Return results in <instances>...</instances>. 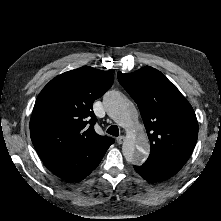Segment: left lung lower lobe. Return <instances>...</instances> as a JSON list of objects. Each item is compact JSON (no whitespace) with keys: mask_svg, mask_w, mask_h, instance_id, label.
<instances>
[{"mask_svg":"<svg viewBox=\"0 0 221 221\" xmlns=\"http://www.w3.org/2000/svg\"><path fill=\"white\" fill-rule=\"evenodd\" d=\"M134 168L148 182L165 181L176 174L172 170L148 163H144L141 166H134Z\"/></svg>","mask_w":221,"mask_h":221,"instance_id":"left-lung-lower-lobe-1","label":"left lung lower lobe"}]
</instances>
